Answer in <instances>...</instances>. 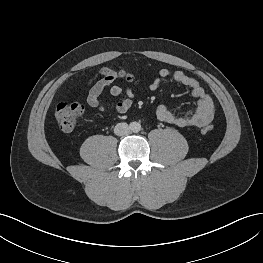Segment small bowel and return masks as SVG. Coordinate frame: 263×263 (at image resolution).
<instances>
[{
  "label": "small bowel",
  "mask_w": 263,
  "mask_h": 263,
  "mask_svg": "<svg viewBox=\"0 0 263 263\" xmlns=\"http://www.w3.org/2000/svg\"><path fill=\"white\" fill-rule=\"evenodd\" d=\"M172 78L176 83L188 88L191 95L196 100V108L185 113L178 114L171 111L167 106L160 105L156 110V117L159 121L175 127H204L208 125L214 116L215 105L206 93L200 83L193 77L182 71H171L169 69H160L150 83L151 90H158L163 86L164 80ZM111 82L101 79L95 81L90 79L86 85L88 88L86 103L91 108L101 113H107L109 109L100 101V97ZM109 92L112 96L121 97L114 105L113 110L118 114L126 113L133 103L134 92L131 88H122L119 85L109 86Z\"/></svg>",
  "instance_id": "1"
}]
</instances>
